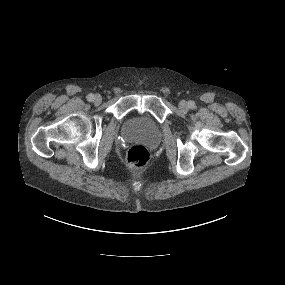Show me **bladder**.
Returning <instances> with one entry per match:
<instances>
[{
	"label": "bladder",
	"instance_id": "obj_1",
	"mask_svg": "<svg viewBox=\"0 0 285 285\" xmlns=\"http://www.w3.org/2000/svg\"><path fill=\"white\" fill-rule=\"evenodd\" d=\"M126 131L130 136L148 145L155 144L160 137L158 128L147 123L130 122Z\"/></svg>",
	"mask_w": 285,
	"mask_h": 285
}]
</instances>
